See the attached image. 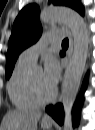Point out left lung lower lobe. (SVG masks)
I'll use <instances>...</instances> for the list:
<instances>
[{
  "label": "left lung lower lobe",
  "instance_id": "obj_1",
  "mask_svg": "<svg viewBox=\"0 0 95 130\" xmlns=\"http://www.w3.org/2000/svg\"><path fill=\"white\" fill-rule=\"evenodd\" d=\"M61 55H64L61 53ZM87 83V77L84 80L83 89L86 87ZM83 98L80 96L73 108V124L77 125L79 122V116H80V108L82 106ZM46 112L50 114L54 120L59 123L60 125L63 124V107L61 104H57L56 106H49L46 108Z\"/></svg>",
  "mask_w": 95,
  "mask_h": 130
}]
</instances>
